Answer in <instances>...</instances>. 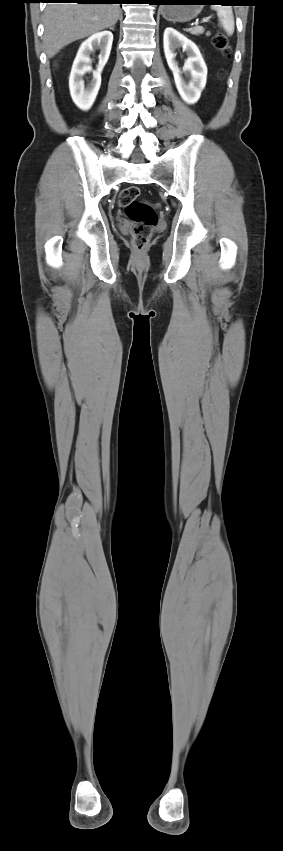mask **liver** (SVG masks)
Masks as SVG:
<instances>
[{"instance_id":"obj_1","label":"liver","mask_w":283,"mask_h":851,"mask_svg":"<svg viewBox=\"0 0 283 851\" xmlns=\"http://www.w3.org/2000/svg\"><path fill=\"white\" fill-rule=\"evenodd\" d=\"M118 4L49 3L44 12V47L48 58L70 43L116 24Z\"/></svg>"}]
</instances>
